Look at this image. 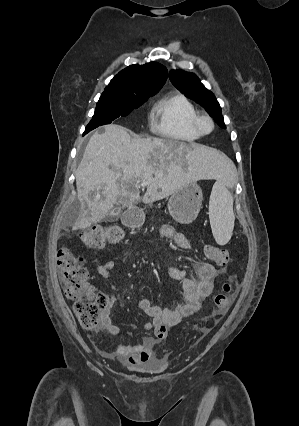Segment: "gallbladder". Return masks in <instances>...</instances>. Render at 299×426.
Here are the masks:
<instances>
[{
    "label": "gallbladder",
    "mask_w": 299,
    "mask_h": 426,
    "mask_svg": "<svg viewBox=\"0 0 299 426\" xmlns=\"http://www.w3.org/2000/svg\"><path fill=\"white\" fill-rule=\"evenodd\" d=\"M122 211V207H118L115 209H112L106 216V219L108 221H114L118 218L120 212Z\"/></svg>",
    "instance_id": "gallbladder-1"
}]
</instances>
